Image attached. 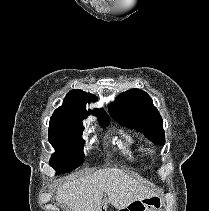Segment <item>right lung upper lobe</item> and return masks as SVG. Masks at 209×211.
<instances>
[{"mask_svg":"<svg viewBox=\"0 0 209 211\" xmlns=\"http://www.w3.org/2000/svg\"><path fill=\"white\" fill-rule=\"evenodd\" d=\"M97 98L82 90H71L65 97L63 105L55 110L50 119V126L68 127L82 124V120L91 113L99 112L100 119L108 116L104 110L86 111V103L95 102ZM109 119V118H108Z\"/></svg>","mask_w":209,"mask_h":211,"instance_id":"cb5924a9","label":"right lung upper lobe"}]
</instances>
